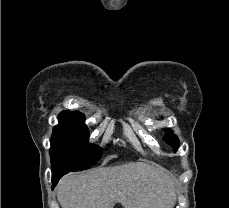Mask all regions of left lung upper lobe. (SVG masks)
I'll list each match as a JSON object with an SVG mask.
<instances>
[{"label": "left lung upper lobe", "mask_w": 229, "mask_h": 208, "mask_svg": "<svg viewBox=\"0 0 229 208\" xmlns=\"http://www.w3.org/2000/svg\"><path fill=\"white\" fill-rule=\"evenodd\" d=\"M166 132V135L164 136V140L172 146L173 150L176 151L179 147V140L178 138L172 133V130L169 128L164 129Z\"/></svg>", "instance_id": "obj_1"}]
</instances>
